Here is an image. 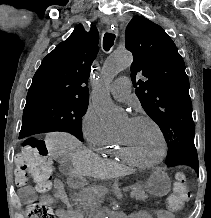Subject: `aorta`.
Masks as SVG:
<instances>
[{
    "label": "aorta",
    "instance_id": "762f6f07",
    "mask_svg": "<svg viewBox=\"0 0 211 218\" xmlns=\"http://www.w3.org/2000/svg\"><path fill=\"white\" fill-rule=\"evenodd\" d=\"M133 61L128 51H115L107 58L102 68V81L93 91V107L101 119L105 129L109 131L120 130L125 122L124 114L113 104L107 90V85L122 70L130 67Z\"/></svg>",
    "mask_w": 211,
    "mask_h": 218
}]
</instances>
